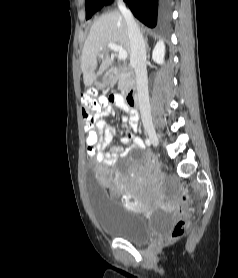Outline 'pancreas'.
Instances as JSON below:
<instances>
[{"instance_id":"pancreas-1","label":"pancreas","mask_w":238,"mask_h":278,"mask_svg":"<svg viewBox=\"0 0 238 278\" xmlns=\"http://www.w3.org/2000/svg\"><path fill=\"white\" fill-rule=\"evenodd\" d=\"M133 85V79L131 77V73L122 70L119 77H118V89L121 90V92H127Z\"/></svg>"}]
</instances>
